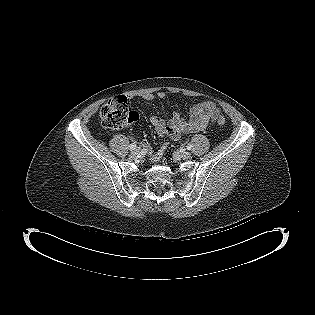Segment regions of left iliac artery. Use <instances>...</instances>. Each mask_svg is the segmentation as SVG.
Listing matches in <instances>:
<instances>
[{
  "label": "left iliac artery",
  "mask_w": 315,
  "mask_h": 315,
  "mask_svg": "<svg viewBox=\"0 0 315 315\" xmlns=\"http://www.w3.org/2000/svg\"><path fill=\"white\" fill-rule=\"evenodd\" d=\"M192 148H193V145H191V144H188V145H187V149H188V150H191Z\"/></svg>",
  "instance_id": "obj_1"
}]
</instances>
